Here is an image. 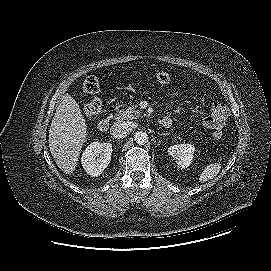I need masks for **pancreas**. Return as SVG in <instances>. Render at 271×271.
Here are the masks:
<instances>
[{
    "mask_svg": "<svg viewBox=\"0 0 271 271\" xmlns=\"http://www.w3.org/2000/svg\"><path fill=\"white\" fill-rule=\"evenodd\" d=\"M140 117V111L138 109V105L131 103L128 105L126 109L121 108V106H118L116 108V120H133Z\"/></svg>",
    "mask_w": 271,
    "mask_h": 271,
    "instance_id": "pancreas-1",
    "label": "pancreas"
}]
</instances>
